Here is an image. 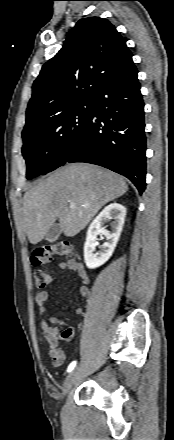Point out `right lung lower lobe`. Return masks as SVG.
Masks as SVG:
<instances>
[{
    "mask_svg": "<svg viewBox=\"0 0 174 440\" xmlns=\"http://www.w3.org/2000/svg\"><path fill=\"white\" fill-rule=\"evenodd\" d=\"M137 73L131 61L94 91L86 130L65 163L106 167L130 179L141 194L146 185V137Z\"/></svg>",
    "mask_w": 174,
    "mask_h": 440,
    "instance_id": "obj_1",
    "label": "right lung lower lobe"
}]
</instances>
